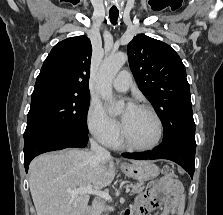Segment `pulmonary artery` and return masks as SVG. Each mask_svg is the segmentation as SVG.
I'll list each match as a JSON object with an SVG mask.
<instances>
[{"instance_id":"obj_1","label":"pulmonary artery","mask_w":223,"mask_h":215,"mask_svg":"<svg viewBox=\"0 0 223 215\" xmlns=\"http://www.w3.org/2000/svg\"><path fill=\"white\" fill-rule=\"evenodd\" d=\"M132 83V77L128 73V69H123L113 80L112 85L117 91H127Z\"/></svg>"}]
</instances>
